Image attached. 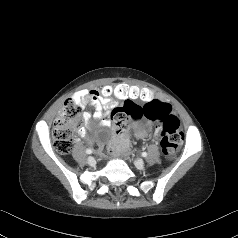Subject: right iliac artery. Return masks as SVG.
Returning a JSON list of instances; mask_svg holds the SVG:
<instances>
[{"mask_svg": "<svg viewBox=\"0 0 238 238\" xmlns=\"http://www.w3.org/2000/svg\"><path fill=\"white\" fill-rule=\"evenodd\" d=\"M86 153H87V154H91V153H92V150H91V149H87V150H86Z\"/></svg>", "mask_w": 238, "mask_h": 238, "instance_id": "obj_1", "label": "right iliac artery"}]
</instances>
